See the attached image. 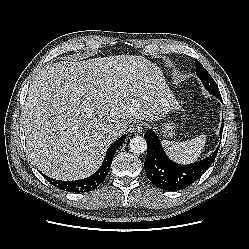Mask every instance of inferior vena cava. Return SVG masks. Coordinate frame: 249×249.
Here are the masks:
<instances>
[{
    "mask_svg": "<svg viewBox=\"0 0 249 249\" xmlns=\"http://www.w3.org/2000/svg\"><path fill=\"white\" fill-rule=\"evenodd\" d=\"M123 133H124V129H123L122 127H116L115 129H113V130L111 131V134H112L113 136H115V137L121 136V134H123Z\"/></svg>",
    "mask_w": 249,
    "mask_h": 249,
    "instance_id": "602c4592",
    "label": "inferior vena cava"
}]
</instances>
